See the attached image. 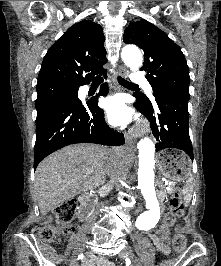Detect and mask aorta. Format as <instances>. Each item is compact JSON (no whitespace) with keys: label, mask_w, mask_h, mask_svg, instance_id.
<instances>
[{"label":"aorta","mask_w":221,"mask_h":266,"mask_svg":"<svg viewBox=\"0 0 221 266\" xmlns=\"http://www.w3.org/2000/svg\"><path fill=\"white\" fill-rule=\"evenodd\" d=\"M121 56L132 71H137L142 66V54L137 47L125 46L121 51ZM137 148L139 150L138 185L148 211L140 214L136 227L146 230L153 227L160 217L159 202L154 187L155 145L151 139L146 137L138 142Z\"/></svg>","instance_id":"aorta-1"}]
</instances>
